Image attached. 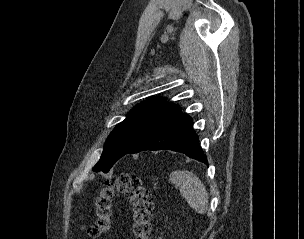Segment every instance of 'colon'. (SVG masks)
<instances>
[{"instance_id": "5ec220e1", "label": "colon", "mask_w": 304, "mask_h": 239, "mask_svg": "<svg viewBox=\"0 0 304 239\" xmlns=\"http://www.w3.org/2000/svg\"><path fill=\"white\" fill-rule=\"evenodd\" d=\"M125 197L131 207L132 232L136 239H150L154 202L151 192L135 175L120 173L107 180L94 201L95 221L86 228L92 238H99L112 226L113 199Z\"/></svg>"}]
</instances>
